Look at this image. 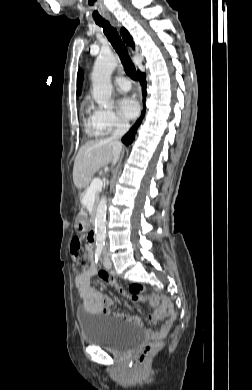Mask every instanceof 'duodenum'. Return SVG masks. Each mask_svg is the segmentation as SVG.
<instances>
[{
  "label": "duodenum",
  "mask_w": 252,
  "mask_h": 390,
  "mask_svg": "<svg viewBox=\"0 0 252 390\" xmlns=\"http://www.w3.org/2000/svg\"><path fill=\"white\" fill-rule=\"evenodd\" d=\"M89 235H90L91 244H94L96 241V233H95L94 229L89 232Z\"/></svg>",
  "instance_id": "duodenum-1"
}]
</instances>
